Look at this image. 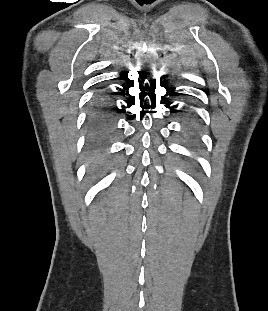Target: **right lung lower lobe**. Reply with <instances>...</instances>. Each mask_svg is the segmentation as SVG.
Segmentation results:
<instances>
[{
	"instance_id": "right-lung-lower-lobe-1",
	"label": "right lung lower lobe",
	"mask_w": 268,
	"mask_h": 311,
	"mask_svg": "<svg viewBox=\"0 0 268 311\" xmlns=\"http://www.w3.org/2000/svg\"><path fill=\"white\" fill-rule=\"evenodd\" d=\"M113 106L108 94L98 95L87 119V127L94 141H101L110 136L115 130Z\"/></svg>"
}]
</instances>
